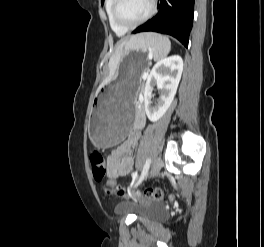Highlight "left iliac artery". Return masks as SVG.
Returning <instances> with one entry per match:
<instances>
[{
  "label": "left iliac artery",
  "instance_id": "obj_1",
  "mask_svg": "<svg viewBox=\"0 0 264 247\" xmlns=\"http://www.w3.org/2000/svg\"><path fill=\"white\" fill-rule=\"evenodd\" d=\"M150 164H151V159L148 158L146 160V163H145L144 167H143L142 173H141L138 181L135 183L134 187H137L143 181L144 177L147 175V172L149 170ZM136 175H137V172H135L133 174V176H136Z\"/></svg>",
  "mask_w": 264,
  "mask_h": 247
}]
</instances>
